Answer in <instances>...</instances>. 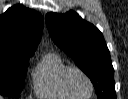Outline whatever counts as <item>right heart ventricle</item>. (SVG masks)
<instances>
[{
  "instance_id": "e07e8e85",
  "label": "right heart ventricle",
  "mask_w": 128,
  "mask_h": 99,
  "mask_svg": "<svg viewBox=\"0 0 128 99\" xmlns=\"http://www.w3.org/2000/svg\"><path fill=\"white\" fill-rule=\"evenodd\" d=\"M68 63L56 52H48L37 65L33 76V89L41 99H71L63 85Z\"/></svg>"
}]
</instances>
